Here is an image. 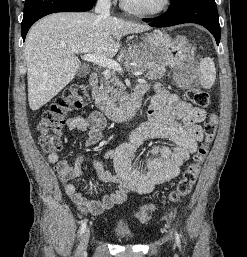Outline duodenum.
I'll return each instance as SVG.
<instances>
[{"instance_id": "duodenum-1", "label": "duodenum", "mask_w": 247, "mask_h": 257, "mask_svg": "<svg viewBox=\"0 0 247 257\" xmlns=\"http://www.w3.org/2000/svg\"><path fill=\"white\" fill-rule=\"evenodd\" d=\"M99 76L97 73L93 72L89 75L88 83L92 89V98L95 107L104 113L107 118L113 121H123L134 116L141 105V100L143 95L147 91L145 84H139L136 86L135 90L129 97V99L120 106H111L104 103L99 96L93 91L94 87L98 83Z\"/></svg>"}]
</instances>
